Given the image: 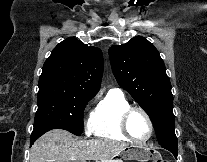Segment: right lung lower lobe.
Instances as JSON below:
<instances>
[{
	"mask_svg": "<svg viewBox=\"0 0 207 162\" xmlns=\"http://www.w3.org/2000/svg\"><path fill=\"white\" fill-rule=\"evenodd\" d=\"M47 131H49V129H40L36 132H32V134H31V145L34 143V141L36 139H38L41 135H43Z\"/></svg>",
	"mask_w": 207,
	"mask_h": 162,
	"instance_id": "1",
	"label": "right lung lower lobe"
}]
</instances>
